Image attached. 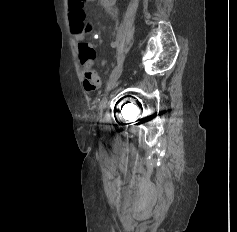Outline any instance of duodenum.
<instances>
[{"label": "duodenum", "mask_w": 237, "mask_h": 232, "mask_svg": "<svg viewBox=\"0 0 237 232\" xmlns=\"http://www.w3.org/2000/svg\"><path fill=\"white\" fill-rule=\"evenodd\" d=\"M102 4L106 7L112 6L115 4L116 0H101Z\"/></svg>", "instance_id": "410a0bca"}]
</instances>
